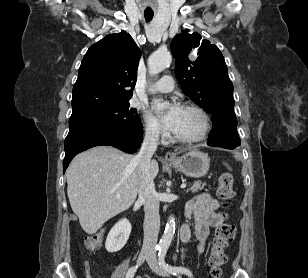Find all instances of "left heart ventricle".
Here are the masks:
<instances>
[{"instance_id":"obj_1","label":"left heart ventricle","mask_w":308,"mask_h":278,"mask_svg":"<svg viewBox=\"0 0 308 278\" xmlns=\"http://www.w3.org/2000/svg\"><path fill=\"white\" fill-rule=\"evenodd\" d=\"M202 128V120L200 116L190 110L183 109L182 115L176 134L182 136H193L196 135Z\"/></svg>"}]
</instances>
